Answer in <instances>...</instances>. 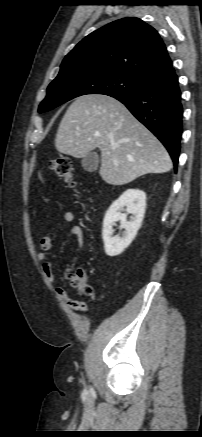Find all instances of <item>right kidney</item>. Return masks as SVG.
<instances>
[{
  "label": "right kidney",
  "instance_id": "ca27d5eb",
  "mask_svg": "<svg viewBox=\"0 0 202 437\" xmlns=\"http://www.w3.org/2000/svg\"><path fill=\"white\" fill-rule=\"evenodd\" d=\"M126 207V213H122ZM146 208V194L142 190H126L107 210L103 220L102 237L105 253L108 256L121 254L134 240L144 219ZM131 214L130 221L127 215ZM120 221L121 228L125 229L122 237L113 236V226Z\"/></svg>",
  "mask_w": 202,
  "mask_h": 437
}]
</instances>
